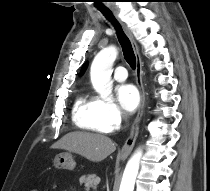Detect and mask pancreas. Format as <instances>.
Wrapping results in <instances>:
<instances>
[{"instance_id": "pancreas-1", "label": "pancreas", "mask_w": 210, "mask_h": 191, "mask_svg": "<svg viewBox=\"0 0 210 191\" xmlns=\"http://www.w3.org/2000/svg\"><path fill=\"white\" fill-rule=\"evenodd\" d=\"M80 184H84L86 190H96L97 185L100 182V178L96 176L95 174H89L87 176L83 175L79 179Z\"/></svg>"}]
</instances>
